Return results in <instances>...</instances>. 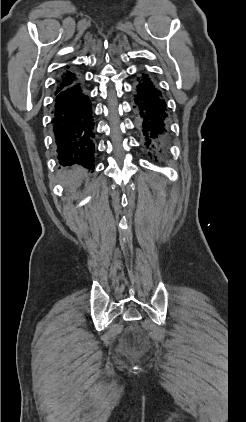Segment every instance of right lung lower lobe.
I'll use <instances>...</instances> for the list:
<instances>
[{
  "label": "right lung lower lobe",
  "instance_id": "1",
  "mask_svg": "<svg viewBox=\"0 0 246 422\" xmlns=\"http://www.w3.org/2000/svg\"><path fill=\"white\" fill-rule=\"evenodd\" d=\"M51 122L58 162L63 166L79 164L93 170L92 107L81 77L70 84L57 86Z\"/></svg>",
  "mask_w": 246,
  "mask_h": 422
}]
</instances>
